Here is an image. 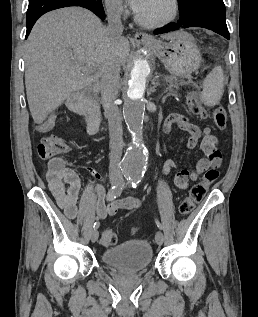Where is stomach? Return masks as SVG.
<instances>
[{"label":"stomach","mask_w":258,"mask_h":317,"mask_svg":"<svg viewBox=\"0 0 258 317\" xmlns=\"http://www.w3.org/2000/svg\"><path fill=\"white\" fill-rule=\"evenodd\" d=\"M142 44L151 48L152 52L164 62L166 68L174 76L189 78L192 72L200 66V50L192 34L186 30H177V38L170 40V42L151 38Z\"/></svg>","instance_id":"1"}]
</instances>
